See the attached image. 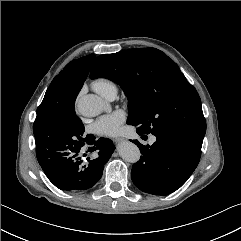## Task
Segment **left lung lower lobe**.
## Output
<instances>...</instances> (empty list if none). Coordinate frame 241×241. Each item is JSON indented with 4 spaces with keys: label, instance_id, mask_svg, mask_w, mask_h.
<instances>
[{
    "label": "left lung lower lobe",
    "instance_id": "obj_1",
    "mask_svg": "<svg viewBox=\"0 0 241 241\" xmlns=\"http://www.w3.org/2000/svg\"><path fill=\"white\" fill-rule=\"evenodd\" d=\"M154 135L157 140L152 146L132 140L142 156L133 165L131 178L143 192L167 195L180 188L196 169L203 138L173 130Z\"/></svg>",
    "mask_w": 241,
    "mask_h": 241
}]
</instances>
